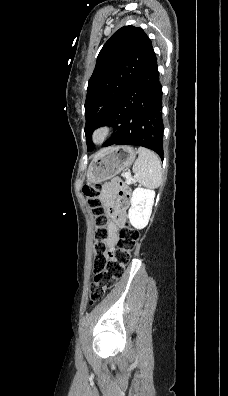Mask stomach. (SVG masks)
I'll list each match as a JSON object with an SVG mask.
<instances>
[{
  "label": "stomach",
  "instance_id": "stomach-1",
  "mask_svg": "<svg viewBox=\"0 0 228 396\" xmlns=\"http://www.w3.org/2000/svg\"><path fill=\"white\" fill-rule=\"evenodd\" d=\"M136 158V151L131 146H116L98 154L87 170V181L99 183L122 170L130 167Z\"/></svg>",
  "mask_w": 228,
  "mask_h": 396
}]
</instances>
